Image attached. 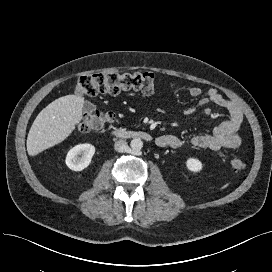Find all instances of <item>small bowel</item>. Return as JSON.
Masks as SVG:
<instances>
[{
  "label": "small bowel",
  "mask_w": 272,
  "mask_h": 272,
  "mask_svg": "<svg viewBox=\"0 0 272 272\" xmlns=\"http://www.w3.org/2000/svg\"><path fill=\"white\" fill-rule=\"evenodd\" d=\"M190 96L197 98L196 106H188L184 109V115L193 116L197 106L214 104L225 109L229 113V119L217 125L211 134H198L186 140L172 134H164L157 138V144L162 148L179 149L186 146L196 148L219 150L238 149L242 140L239 131L244 123L243 111L239 105L225 98L217 89L211 88L203 95L202 89L197 86L187 87Z\"/></svg>",
  "instance_id": "c3829d8e"
}]
</instances>
